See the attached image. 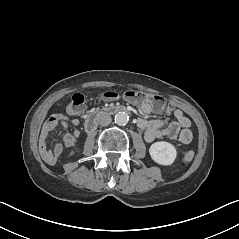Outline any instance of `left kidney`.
Listing matches in <instances>:
<instances>
[{
    "mask_svg": "<svg viewBox=\"0 0 239 239\" xmlns=\"http://www.w3.org/2000/svg\"><path fill=\"white\" fill-rule=\"evenodd\" d=\"M149 153L151 158L160 165H171L177 156L175 147L164 141L153 143Z\"/></svg>",
    "mask_w": 239,
    "mask_h": 239,
    "instance_id": "5707ae66",
    "label": "left kidney"
}]
</instances>
